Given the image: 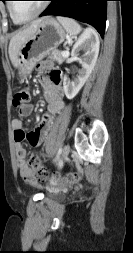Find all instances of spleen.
Here are the masks:
<instances>
[{
	"label": "spleen",
	"instance_id": "obj_1",
	"mask_svg": "<svg viewBox=\"0 0 133 253\" xmlns=\"http://www.w3.org/2000/svg\"><path fill=\"white\" fill-rule=\"evenodd\" d=\"M57 19L71 36L78 35L82 30L81 26L71 18L58 16Z\"/></svg>",
	"mask_w": 133,
	"mask_h": 253
}]
</instances>
